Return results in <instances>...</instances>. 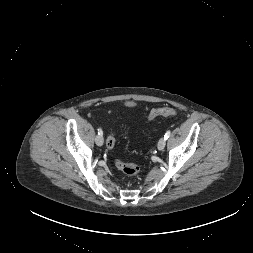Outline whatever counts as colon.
<instances>
[{"label": "colon", "mask_w": 253, "mask_h": 253, "mask_svg": "<svg viewBox=\"0 0 253 253\" xmlns=\"http://www.w3.org/2000/svg\"><path fill=\"white\" fill-rule=\"evenodd\" d=\"M177 112L173 108L169 107H161L153 109L149 114V119L153 120L154 118L158 116H176ZM116 143L115 137L113 134H109L106 139V145L108 148L112 149L114 148ZM117 168L123 172L125 175L129 177H135L140 173V167L133 163H127L120 159L116 160L115 162Z\"/></svg>", "instance_id": "1"}]
</instances>
